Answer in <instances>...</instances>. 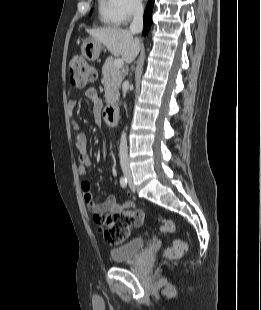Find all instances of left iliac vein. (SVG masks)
I'll use <instances>...</instances> for the list:
<instances>
[{"label": "left iliac vein", "mask_w": 261, "mask_h": 310, "mask_svg": "<svg viewBox=\"0 0 261 310\" xmlns=\"http://www.w3.org/2000/svg\"><path fill=\"white\" fill-rule=\"evenodd\" d=\"M128 181H129V183H131V181H132L131 175L128 176Z\"/></svg>", "instance_id": "left-iliac-vein-1"}]
</instances>
